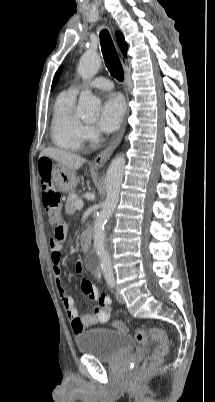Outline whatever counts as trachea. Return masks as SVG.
Segmentation results:
<instances>
[{"mask_svg": "<svg viewBox=\"0 0 215 402\" xmlns=\"http://www.w3.org/2000/svg\"><path fill=\"white\" fill-rule=\"evenodd\" d=\"M100 43L106 67L110 74L119 81H123V69L109 32L104 29L100 33Z\"/></svg>", "mask_w": 215, "mask_h": 402, "instance_id": "trachea-1", "label": "trachea"}]
</instances>
